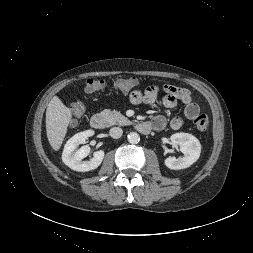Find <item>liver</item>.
Masks as SVG:
<instances>
[{
	"mask_svg": "<svg viewBox=\"0 0 253 253\" xmlns=\"http://www.w3.org/2000/svg\"><path fill=\"white\" fill-rule=\"evenodd\" d=\"M72 120V113L58 96H54L46 110V132L51 147L58 151L67 133V128Z\"/></svg>",
	"mask_w": 253,
	"mask_h": 253,
	"instance_id": "liver-1",
	"label": "liver"
}]
</instances>
